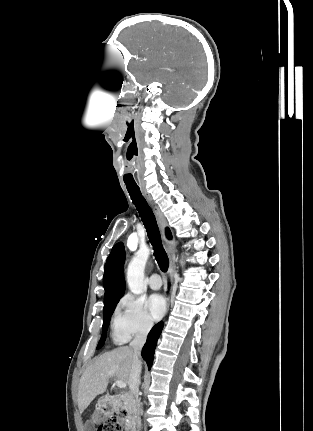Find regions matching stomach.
<instances>
[{
    "label": "stomach",
    "instance_id": "1",
    "mask_svg": "<svg viewBox=\"0 0 313 431\" xmlns=\"http://www.w3.org/2000/svg\"><path fill=\"white\" fill-rule=\"evenodd\" d=\"M110 399L108 398H101L98 400L97 404H96V410L93 414V419L96 422H103L106 420V418L108 417V408L110 406Z\"/></svg>",
    "mask_w": 313,
    "mask_h": 431
}]
</instances>
